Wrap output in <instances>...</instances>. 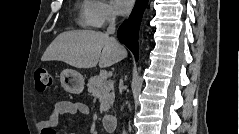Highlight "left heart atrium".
<instances>
[{
	"label": "left heart atrium",
	"mask_w": 239,
	"mask_h": 134,
	"mask_svg": "<svg viewBox=\"0 0 239 134\" xmlns=\"http://www.w3.org/2000/svg\"><path fill=\"white\" fill-rule=\"evenodd\" d=\"M114 5L119 14H127L133 5L132 0H115Z\"/></svg>",
	"instance_id": "39dd6f15"
}]
</instances>
